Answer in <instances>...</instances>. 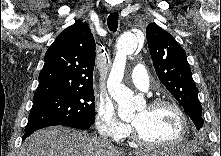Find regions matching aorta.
Returning a JSON list of instances; mask_svg holds the SVG:
<instances>
[{"instance_id": "762f6f07", "label": "aorta", "mask_w": 221, "mask_h": 156, "mask_svg": "<svg viewBox=\"0 0 221 156\" xmlns=\"http://www.w3.org/2000/svg\"><path fill=\"white\" fill-rule=\"evenodd\" d=\"M138 46V36L132 32L123 33L117 40V53L107 80L111 97L118 104V115L123 120H130L143 107V100L122 84L126 58Z\"/></svg>"}]
</instances>
